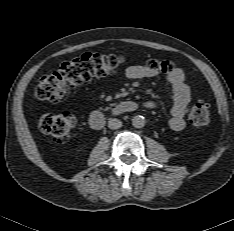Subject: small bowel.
I'll list each match as a JSON object with an SVG mask.
<instances>
[{"mask_svg": "<svg viewBox=\"0 0 234 231\" xmlns=\"http://www.w3.org/2000/svg\"><path fill=\"white\" fill-rule=\"evenodd\" d=\"M125 74L129 79H142L155 77L157 72L147 65H131ZM168 81L171 84L173 98L169 127L173 131H180L185 127L184 115L191 99L190 88L185 81L184 71L179 67L173 68L168 74ZM143 105L148 109L156 107V103L152 100L145 101Z\"/></svg>", "mask_w": 234, "mask_h": 231, "instance_id": "1", "label": "small bowel"}]
</instances>
